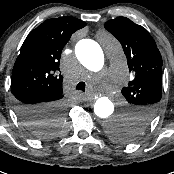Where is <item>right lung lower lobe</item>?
<instances>
[{
  "instance_id": "right-lung-lower-lobe-1",
  "label": "right lung lower lobe",
  "mask_w": 174,
  "mask_h": 174,
  "mask_svg": "<svg viewBox=\"0 0 174 174\" xmlns=\"http://www.w3.org/2000/svg\"><path fill=\"white\" fill-rule=\"evenodd\" d=\"M19 101V106H18V112L24 117V118H29L27 120H30V119H33L35 118L34 116L36 115H40L41 113L37 112V111H33L34 109H32L33 107L35 106H41V105H44V104H47L49 103L50 101H46V102H40L38 104H27L25 103L24 101H26L27 99H29L30 96L29 94L27 93H16V96H15ZM39 111V110H38Z\"/></svg>"
}]
</instances>
